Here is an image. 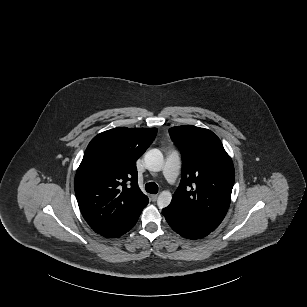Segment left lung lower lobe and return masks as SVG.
Instances as JSON below:
<instances>
[{
    "label": "left lung lower lobe",
    "mask_w": 307,
    "mask_h": 307,
    "mask_svg": "<svg viewBox=\"0 0 307 307\" xmlns=\"http://www.w3.org/2000/svg\"><path fill=\"white\" fill-rule=\"evenodd\" d=\"M168 224L178 234L189 239H199L207 236L213 230L204 227L185 215H183L177 206L170 204L162 210Z\"/></svg>",
    "instance_id": "1"
}]
</instances>
